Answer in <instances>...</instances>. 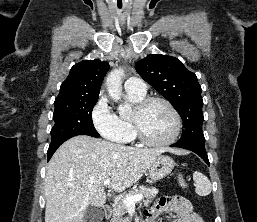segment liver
Masks as SVG:
<instances>
[{
  "label": "liver",
  "mask_w": 257,
  "mask_h": 222,
  "mask_svg": "<svg viewBox=\"0 0 257 222\" xmlns=\"http://www.w3.org/2000/svg\"><path fill=\"white\" fill-rule=\"evenodd\" d=\"M164 152L176 149H138L85 135L65 141L48 163L45 177V222H83L89 206L106 202L104 180L115 192L132 186Z\"/></svg>",
  "instance_id": "1"
}]
</instances>
